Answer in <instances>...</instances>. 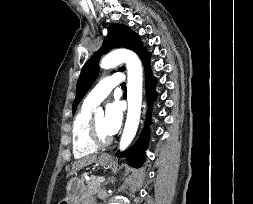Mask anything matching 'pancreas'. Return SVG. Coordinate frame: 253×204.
Returning <instances> with one entry per match:
<instances>
[{
  "instance_id": "cf45deb5",
  "label": "pancreas",
  "mask_w": 253,
  "mask_h": 204,
  "mask_svg": "<svg viewBox=\"0 0 253 204\" xmlns=\"http://www.w3.org/2000/svg\"><path fill=\"white\" fill-rule=\"evenodd\" d=\"M100 183L95 180V177L92 176L90 180H86L87 192L89 194L97 193L100 189Z\"/></svg>"
}]
</instances>
